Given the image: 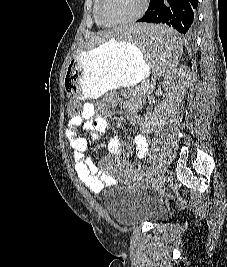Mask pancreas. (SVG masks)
Masks as SVG:
<instances>
[{
	"mask_svg": "<svg viewBox=\"0 0 227 267\" xmlns=\"http://www.w3.org/2000/svg\"><path fill=\"white\" fill-rule=\"evenodd\" d=\"M137 90L149 93L151 91V84L149 81L144 80L141 85L136 87Z\"/></svg>",
	"mask_w": 227,
	"mask_h": 267,
	"instance_id": "cf45deb5",
	"label": "pancreas"
}]
</instances>
